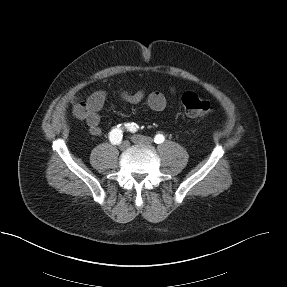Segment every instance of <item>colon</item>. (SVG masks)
I'll return each instance as SVG.
<instances>
[{"label": "colon", "instance_id": "obj_1", "mask_svg": "<svg viewBox=\"0 0 287 287\" xmlns=\"http://www.w3.org/2000/svg\"><path fill=\"white\" fill-rule=\"evenodd\" d=\"M181 105L187 116L192 118H206L212 114L213 108L209 101L193 92H186L181 97ZM88 108L85 102L74 105V114L80 119H85Z\"/></svg>", "mask_w": 287, "mask_h": 287}]
</instances>
